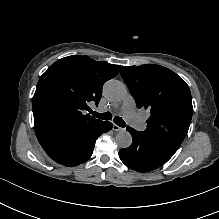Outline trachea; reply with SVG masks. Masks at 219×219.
<instances>
[{
	"instance_id": "3493384b",
	"label": "trachea",
	"mask_w": 219,
	"mask_h": 219,
	"mask_svg": "<svg viewBox=\"0 0 219 219\" xmlns=\"http://www.w3.org/2000/svg\"><path fill=\"white\" fill-rule=\"evenodd\" d=\"M89 113L92 114L93 116L102 119V120H110L112 118V114L110 112H105V113H97L91 109H89ZM114 122L116 125L120 127H125L126 123L123 121V119L119 116L114 117Z\"/></svg>"
}]
</instances>
